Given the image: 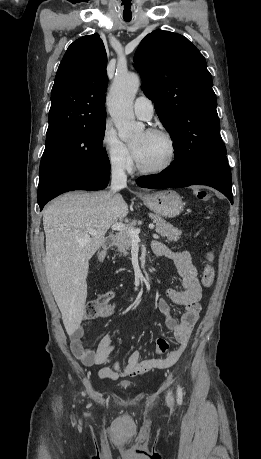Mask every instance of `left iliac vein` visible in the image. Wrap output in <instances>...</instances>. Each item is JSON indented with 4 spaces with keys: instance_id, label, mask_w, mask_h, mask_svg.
I'll use <instances>...</instances> for the list:
<instances>
[{
    "instance_id": "1",
    "label": "left iliac vein",
    "mask_w": 261,
    "mask_h": 459,
    "mask_svg": "<svg viewBox=\"0 0 261 459\" xmlns=\"http://www.w3.org/2000/svg\"><path fill=\"white\" fill-rule=\"evenodd\" d=\"M167 403H168L169 405H172V403H173V399H172L171 393H169L168 396H167Z\"/></svg>"
}]
</instances>
